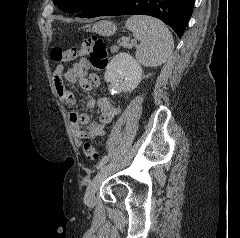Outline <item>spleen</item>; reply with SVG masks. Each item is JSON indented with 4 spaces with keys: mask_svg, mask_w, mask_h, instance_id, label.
<instances>
[{
    "mask_svg": "<svg viewBox=\"0 0 240 238\" xmlns=\"http://www.w3.org/2000/svg\"><path fill=\"white\" fill-rule=\"evenodd\" d=\"M140 44L136 47V58L146 67H156L167 61L174 49L171 32L158 19L147 16H132L125 24Z\"/></svg>",
    "mask_w": 240,
    "mask_h": 238,
    "instance_id": "obj_1",
    "label": "spleen"
}]
</instances>
